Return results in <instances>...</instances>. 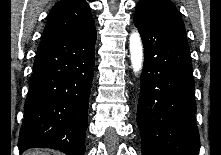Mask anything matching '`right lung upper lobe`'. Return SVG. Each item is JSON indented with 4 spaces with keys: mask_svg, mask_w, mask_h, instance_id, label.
Listing matches in <instances>:
<instances>
[{
    "mask_svg": "<svg viewBox=\"0 0 221 155\" xmlns=\"http://www.w3.org/2000/svg\"><path fill=\"white\" fill-rule=\"evenodd\" d=\"M85 0H61L50 11L43 35L60 34L87 28L94 24Z\"/></svg>",
    "mask_w": 221,
    "mask_h": 155,
    "instance_id": "1",
    "label": "right lung upper lobe"
}]
</instances>
